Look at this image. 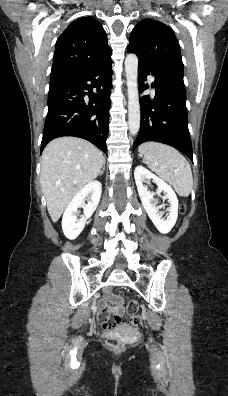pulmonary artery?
I'll return each instance as SVG.
<instances>
[{
  "label": "pulmonary artery",
  "instance_id": "obj_1",
  "mask_svg": "<svg viewBox=\"0 0 228 396\" xmlns=\"http://www.w3.org/2000/svg\"><path fill=\"white\" fill-rule=\"evenodd\" d=\"M153 80V78H150V81H152Z\"/></svg>",
  "mask_w": 228,
  "mask_h": 396
}]
</instances>
